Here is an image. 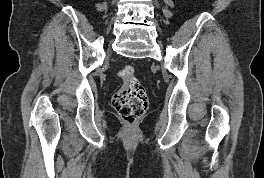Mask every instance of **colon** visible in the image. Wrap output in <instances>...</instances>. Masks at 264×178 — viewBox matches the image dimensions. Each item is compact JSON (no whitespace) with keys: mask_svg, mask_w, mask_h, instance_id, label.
<instances>
[{"mask_svg":"<svg viewBox=\"0 0 264 178\" xmlns=\"http://www.w3.org/2000/svg\"><path fill=\"white\" fill-rule=\"evenodd\" d=\"M119 77L122 86L113 95L112 105L125 122L133 124L144 115L148 107L146 91L131 65L124 66L119 71Z\"/></svg>","mask_w":264,"mask_h":178,"instance_id":"obj_1","label":"colon"}]
</instances>
